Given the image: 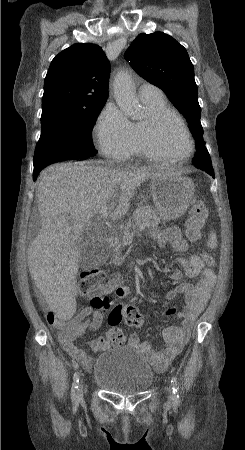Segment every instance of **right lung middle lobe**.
Here are the masks:
<instances>
[{
	"label": "right lung middle lobe",
	"instance_id": "1",
	"mask_svg": "<svg viewBox=\"0 0 245 450\" xmlns=\"http://www.w3.org/2000/svg\"><path fill=\"white\" fill-rule=\"evenodd\" d=\"M104 104L92 109L52 106L42 109L39 149L34 154V169L79 156H94L91 128Z\"/></svg>",
	"mask_w": 245,
	"mask_h": 450
}]
</instances>
